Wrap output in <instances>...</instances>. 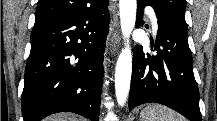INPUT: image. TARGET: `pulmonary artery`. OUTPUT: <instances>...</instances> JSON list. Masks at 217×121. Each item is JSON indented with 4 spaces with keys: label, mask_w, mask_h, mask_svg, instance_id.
I'll return each mask as SVG.
<instances>
[{
    "label": "pulmonary artery",
    "mask_w": 217,
    "mask_h": 121,
    "mask_svg": "<svg viewBox=\"0 0 217 121\" xmlns=\"http://www.w3.org/2000/svg\"><path fill=\"white\" fill-rule=\"evenodd\" d=\"M150 20H151V24H152V28H153L154 33H157V31H158L157 17L154 14H151Z\"/></svg>",
    "instance_id": "pulmonary-artery-1"
}]
</instances>
